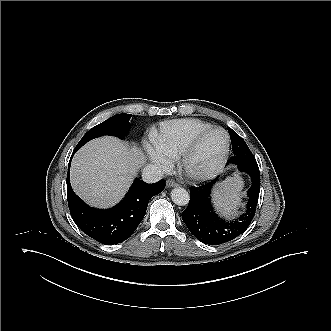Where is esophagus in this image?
I'll use <instances>...</instances> for the list:
<instances>
[{
  "label": "esophagus",
  "mask_w": 331,
  "mask_h": 331,
  "mask_svg": "<svg viewBox=\"0 0 331 331\" xmlns=\"http://www.w3.org/2000/svg\"><path fill=\"white\" fill-rule=\"evenodd\" d=\"M166 186H167V188L177 187L178 186V183H176L174 180L168 179L166 181Z\"/></svg>",
  "instance_id": "1"
}]
</instances>
